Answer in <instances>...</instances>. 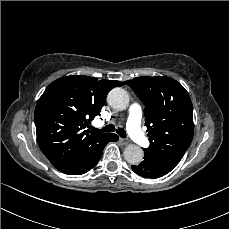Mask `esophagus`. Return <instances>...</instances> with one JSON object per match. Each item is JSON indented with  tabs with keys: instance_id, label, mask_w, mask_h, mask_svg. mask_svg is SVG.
I'll list each match as a JSON object with an SVG mask.
<instances>
[{
	"instance_id": "1",
	"label": "esophagus",
	"mask_w": 229,
	"mask_h": 229,
	"mask_svg": "<svg viewBox=\"0 0 229 229\" xmlns=\"http://www.w3.org/2000/svg\"><path fill=\"white\" fill-rule=\"evenodd\" d=\"M120 141L123 145H127L130 142L128 139H124V138H120Z\"/></svg>"
}]
</instances>
